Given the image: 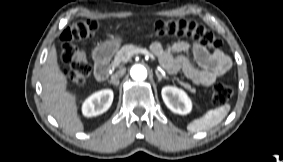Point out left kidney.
<instances>
[{
    "instance_id": "left-kidney-1",
    "label": "left kidney",
    "mask_w": 283,
    "mask_h": 162,
    "mask_svg": "<svg viewBox=\"0 0 283 162\" xmlns=\"http://www.w3.org/2000/svg\"><path fill=\"white\" fill-rule=\"evenodd\" d=\"M161 95L165 105L174 113L186 115L192 109V103L187 94L175 86H165Z\"/></svg>"
}]
</instances>
